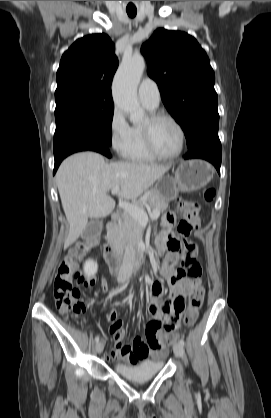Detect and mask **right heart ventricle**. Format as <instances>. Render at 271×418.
<instances>
[{
	"label": "right heart ventricle",
	"instance_id": "obj_1",
	"mask_svg": "<svg viewBox=\"0 0 271 418\" xmlns=\"http://www.w3.org/2000/svg\"><path fill=\"white\" fill-rule=\"evenodd\" d=\"M145 108L149 111L153 110L146 106ZM122 155L124 158L132 161H154L156 159L146 148L142 126L133 125L130 127L129 141Z\"/></svg>",
	"mask_w": 271,
	"mask_h": 418
}]
</instances>
